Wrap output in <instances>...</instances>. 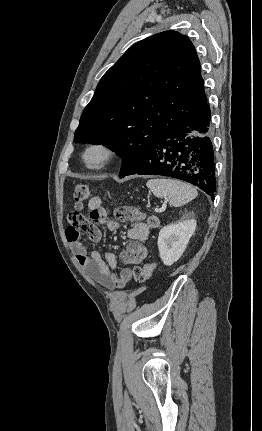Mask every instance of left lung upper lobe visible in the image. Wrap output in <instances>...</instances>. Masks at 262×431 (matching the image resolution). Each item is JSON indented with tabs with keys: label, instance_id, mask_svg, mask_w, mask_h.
<instances>
[{
	"label": "left lung upper lobe",
	"instance_id": "left-lung-upper-lobe-1",
	"mask_svg": "<svg viewBox=\"0 0 262 431\" xmlns=\"http://www.w3.org/2000/svg\"><path fill=\"white\" fill-rule=\"evenodd\" d=\"M206 102L193 44L176 31L161 32L134 44L103 75L74 141L116 151L122 178Z\"/></svg>",
	"mask_w": 262,
	"mask_h": 431
}]
</instances>
